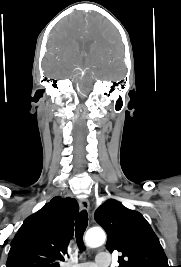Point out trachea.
<instances>
[{
  "label": "trachea",
  "mask_w": 181,
  "mask_h": 267,
  "mask_svg": "<svg viewBox=\"0 0 181 267\" xmlns=\"http://www.w3.org/2000/svg\"><path fill=\"white\" fill-rule=\"evenodd\" d=\"M88 224V214L86 210L79 213L75 221V237L78 247L81 251L85 249L83 243V235Z\"/></svg>",
  "instance_id": "3493384b"
}]
</instances>
